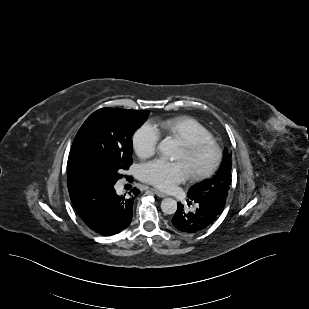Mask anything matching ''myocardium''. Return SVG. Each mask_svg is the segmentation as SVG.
I'll return each instance as SVG.
<instances>
[{
	"instance_id": "obj_1",
	"label": "myocardium",
	"mask_w": 309,
	"mask_h": 309,
	"mask_svg": "<svg viewBox=\"0 0 309 309\" xmlns=\"http://www.w3.org/2000/svg\"><path fill=\"white\" fill-rule=\"evenodd\" d=\"M184 150L188 158H196L203 153L209 154L208 161L195 168L191 172V177L195 180L206 178L213 174L218 168L222 152L220 146L214 140H198L195 142H189L183 144Z\"/></svg>"
}]
</instances>
